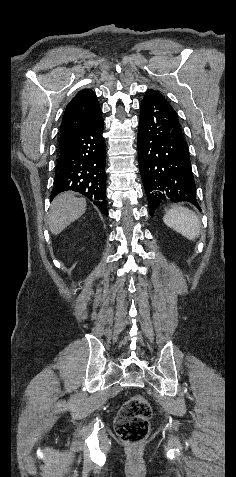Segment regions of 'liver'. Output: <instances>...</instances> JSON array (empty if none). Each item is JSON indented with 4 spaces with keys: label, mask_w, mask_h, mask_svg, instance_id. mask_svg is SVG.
Here are the masks:
<instances>
[{
    "label": "liver",
    "mask_w": 236,
    "mask_h": 477,
    "mask_svg": "<svg viewBox=\"0 0 236 477\" xmlns=\"http://www.w3.org/2000/svg\"><path fill=\"white\" fill-rule=\"evenodd\" d=\"M86 211V201L70 192L59 194L51 203L49 229L54 235L60 234L68 225L80 218Z\"/></svg>",
    "instance_id": "liver-1"
}]
</instances>
